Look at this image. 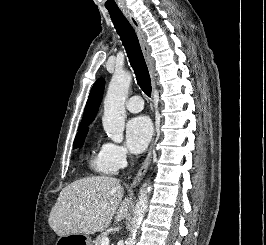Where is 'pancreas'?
Returning <instances> with one entry per match:
<instances>
[{
    "mask_svg": "<svg viewBox=\"0 0 266 245\" xmlns=\"http://www.w3.org/2000/svg\"><path fill=\"white\" fill-rule=\"evenodd\" d=\"M103 237H107V233H101V235H98V237H96V241H94L95 245H101Z\"/></svg>",
    "mask_w": 266,
    "mask_h": 245,
    "instance_id": "pancreas-1",
    "label": "pancreas"
}]
</instances>
